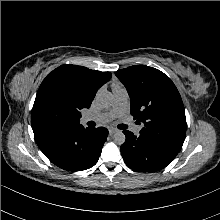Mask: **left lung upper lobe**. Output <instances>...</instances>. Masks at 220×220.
I'll use <instances>...</instances> for the list:
<instances>
[{"label": "left lung upper lobe", "instance_id": "obj_1", "mask_svg": "<svg viewBox=\"0 0 220 220\" xmlns=\"http://www.w3.org/2000/svg\"><path fill=\"white\" fill-rule=\"evenodd\" d=\"M115 74L128 91L134 120L144 124L140 134L179 153L186 134V117L172 80L144 65L130 66Z\"/></svg>", "mask_w": 220, "mask_h": 220}]
</instances>
